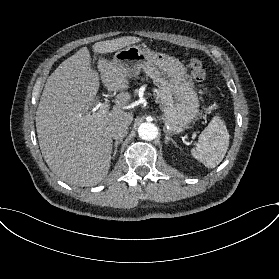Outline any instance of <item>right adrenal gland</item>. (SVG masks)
Masks as SVG:
<instances>
[{"instance_id": "obj_1", "label": "right adrenal gland", "mask_w": 279, "mask_h": 279, "mask_svg": "<svg viewBox=\"0 0 279 279\" xmlns=\"http://www.w3.org/2000/svg\"><path fill=\"white\" fill-rule=\"evenodd\" d=\"M122 142V139L116 140L115 145H114V152H112L113 156H116L118 149L117 146Z\"/></svg>"}]
</instances>
